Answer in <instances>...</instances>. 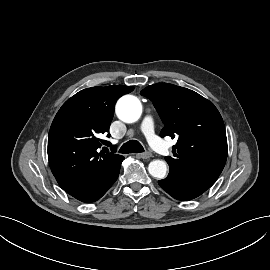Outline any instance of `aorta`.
<instances>
[{
	"label": "aorta",
	"mask_w": 270,
	"mask_h": 270,
	"mask_svg": "<svg viewBox=\"0 0 270 270\" xmlns=\"http://www.w3.org/2000/svg\"><path fill=\"white\" fill-rule=\"evenodd\" d=\"M116 114L123 122H136L142 114L141 102L133 95H125L117 102ZM148 171L154 178L164 179L167 172V165L162 160H153L149 163Z\"/></svg>",
	"instance_id": "1"
}]
</instances>
